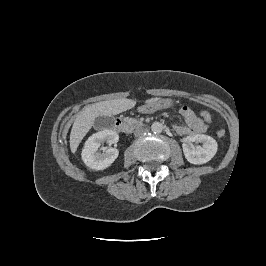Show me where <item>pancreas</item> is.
Here are the masks:
<instances>
[{
    "instance_id": "obj_1",
    "label": "pancreas",
    "mask_w": 266,
    "mask_h": 266,
    "mask_svg": "<svg viewBox=\"0 0 266 266\" xmlns=\"http://www.w3.org/2000/svg\"><path fill=\"white\" fill-rule=\"evenodd\" d=\"M134 123H138V121H136V120H132Z\"/></svg>"
}]
</instances>
